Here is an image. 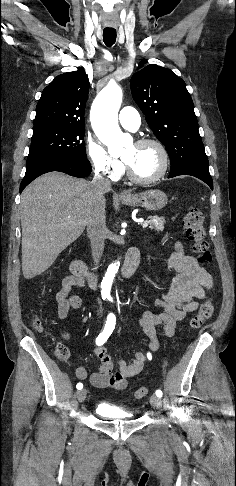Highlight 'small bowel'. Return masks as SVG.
<instances>
[{"instance_id": "c3829d8e", "label": "small bowel", "mask_w": 236, "mask_h": 486, "mask_svg": "<svg viewBox=\"0 0 236 486\" xmlns=\"http://www.w3.org/2000/svg\"><path fill=\"white\" fill-rule=\"evenodd\" d=\"M166 266L175 270L177 275L172 280L168 291L160 294L154 300L155 305L162 312L152 313L143 310L141 315L134 319L149 338V349L152 352L159 348L156 328L162 326L166 336H173L178 323L197 310L199 300L205 298L206 291L213 286L210 274L193 257L185 254L183 245L179 241L175 243V250L168 258ZM82 287V281L74 275L62 280L55 296L59 319L66 318L70 310L78 309L81 306V298L75 291ZM95 354L100 360V366L98 371L90 376L92 385L117 391L125 389L129 378L142 371L148 358L144 352L127 353V357L130 359H120L117 370H114L113 362L105 348H96ZM75 373L80 380L88 377V371L84 366H78Z\"/></svg>"}]
</instances>
